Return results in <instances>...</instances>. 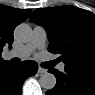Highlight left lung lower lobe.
Returning a JSON list of instances; mask_svg holds the SVG:
<instances>
[{
	"mask_svg": "<svg viewBox=\"0 0 95 95\" xmlns=\"http://www.w3.org/2000/svg\"><path fill=\"white\" fill-rule=\"evenodd\" d=\"M64 70V73L49 70L57 78V84L47 95H95V71L67 65Z\"/></svg>",
	"mask_w": 95,
	"mask_h": 95,
	"instance_id": "1",
	"label": "left lung lower lobe"
}]
</instances>
